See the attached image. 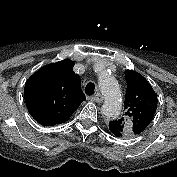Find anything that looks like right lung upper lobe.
Segmentation results:
<instances>
[{
    "mask_svg": "<svg viewBox=\"0 0 177 177\" xmlns=\"http://www.w3.org/2000/svg\"><path fill=\"white\" fill-rule=\"evenodd\" d=\"M74 61L48 64L26 82L24 98L31 116L43 126L66 122L85 100Z\"/></svg>",
    "mask_w": 177,
    "mask_h": 177,
    "instance_id": "right-lung-upper-lobe-1",
    "label": "right lung upper lobe"
}]
</instances>
